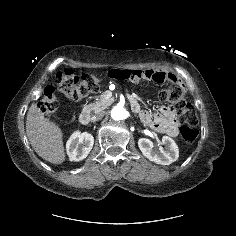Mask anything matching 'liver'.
Segmentation results:
<instances>
[{
	"label": "liver",
	"mask_w": 236,
	"mask_h": 236,
	"mask_svg": "<svg viewBox=\"0 0 236 236\" xmlns=\"http://www.w3.org/2000/svg\"><path fill=\"white\" fill-rule=\"evenodd\" d=\"M26 133L31 146L41 158L53 164L65 161L61 129L45 118L35 103L27 113Z\"/></svg>",
	"instance_id": "liver-1"
}]
</instances>
